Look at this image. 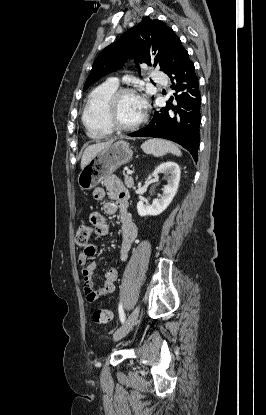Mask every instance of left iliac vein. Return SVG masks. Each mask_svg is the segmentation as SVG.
Listing matches in <instances>:
<instances>
[{
    "label": "left iliac vein",
    "mask_w": 266,
    "mask_h": 415,
    "mask_svg": "<svg viewBox=\"0 0 266 415\" xmlns=\"http://www.w3.org/2000/svg\"><path fill=\"white\" fill-rule=\"evenodd\" d=\"M140 307L137 306L132 313L128 316L124 324L115 332L113 338L115 341H118L125 337L135 325L138 315H139Z\"/></svg>",
    "instance_id": "4c4485c4"
}]
</instances>
